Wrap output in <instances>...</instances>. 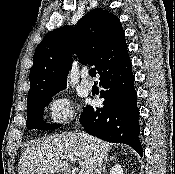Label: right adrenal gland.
Listing matches in <instances>:
<instances>
[{
  "label": "right adrenal gland",
  "instance_id": "right-adrenal-gland-1",
  "mask_svg": "<svg viewBox=\"0 0 175 174\" xmlns=\"http://www.w3.org/2000/svg\"><path fill=\"white\" fill-rule=\"evenodd\" d=\"M113 160H116V157L115 156H110V157H105L104 158V165H103V174L106 173V165L108 164L109 161H113Z\"/></svg>",
  "mask_w": 175,
  "mask_h": 174
}]
</instances>
